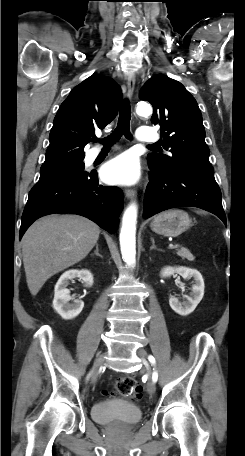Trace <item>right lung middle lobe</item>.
<instances>
[{
	"instance_id": "obj_1",
	"label": "right lung middle lobe",
	"mask_w": 245,
	"mask_h": 456,
	"mask_svg": "<svg viewBox=\"0 0 245 456\" xmlns=\"http://www.w3.org/2000/svg\"><path fill=\"white\" fill-rule=\"evenodd\" d=\"M82 160L83 159L53 167L41 168L39 181L87 173L86 171H84V163L82 162Z\"/></svg>"
}]
</instances>
